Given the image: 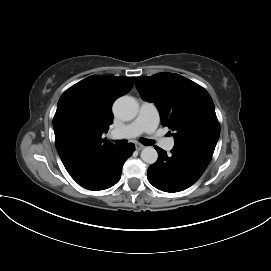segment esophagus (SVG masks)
<instances>
[{"label":"esophagus","mask_w":271,"mask_h":271,"mask_svg":"<svg viewBox=\"0 0 271 271\" xmlns=\"http://www.w3.org/2000/svg\"><path fill=\"white\" fill-rule=\"evenodd\" d=\"M135 147H136L137 150H142V149L145 148V146H143V145L140 144V143H137V144L135 145Z\"/></svg>","instance_id":"obj_1"}]
</instances>
